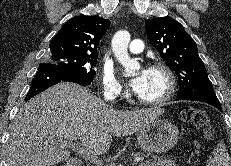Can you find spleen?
<instances>
[{"mask_svg":"<svg viewBox=\"0 0 231 166\" xmlns=\"http://www.w3.org/2000/svg\"><path fill=\"white\" fill-rule=\"evenodd\" d=\"M207 166H231V159L223 141L217 144L207 161Z\"/></svg>","mask_w":231,"mask_h":166,"instance_id":"3e777b00","label":"spleen"}]
</instances>
